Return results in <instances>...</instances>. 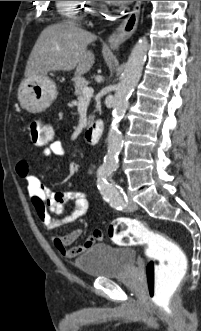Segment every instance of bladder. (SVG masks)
I'll list each match as a JSON object with an SVG mask.
<instances>
[{
	"instance_id": "31cf9c89",
	"label": "bladder",
	"mask_w": 201,
	"mask_h": 331,
	"mask_svg": "<svg viewBox=\"0 0 201 331\" xmlns=\"http://www.w3.org/2000/svg\"><path fill=\"white\" fill-rule=\"evenodd\" d=\"M136 252L130 247L97 243L75 260L76 268L92 279L124 277L135 264Z\"/></svg>"
}]
</instances>
